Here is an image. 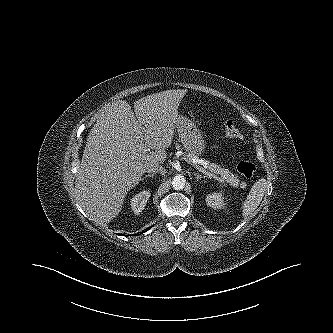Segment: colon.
Returning <instances> with one entry per match:
<instances>
[{"label": "colon", "instance_id": "1", "mask_svg": "<svg viewBox=\"0 0 333 333\" xmlns=\"http://www.w3.org/2000/svg\"><path fill=\"white\" fill-rule=\"evenodd\" d=\"M223 127V134L225 138L237 139L240 137V131L231 119L226 120ZM237 170L243 177L251 179L256 172V165L252 161L242 160L238 163Z\"/></svg>", "mask_w": 333, "mask_h": 333}]
</instances>
